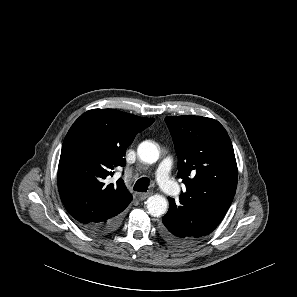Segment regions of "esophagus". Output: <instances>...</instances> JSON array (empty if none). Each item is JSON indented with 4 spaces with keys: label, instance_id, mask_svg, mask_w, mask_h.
I'll list each match as a JSON object with an SVG mask.
<instances>
[{
    "label": "esophagus",
    "instance_id": "34e87169",
    "mask_svg": "<svg viewBox=\"0 0 297 297\" xmlns=\"http://www.w3.org/2000/svg\"><path fill=\"white\" fill-rule=\"evenodd\" d=\"M151 195H152L151 192H142V193L138 194V197H139L140 200H145Z\"/></svg>",
    "mask_w": 297,
    "mask_h": 297
}]
</instances>
